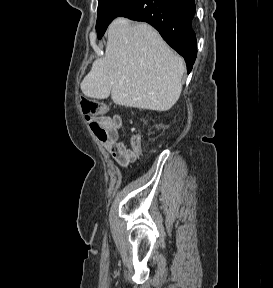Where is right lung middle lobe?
I'll return each mask as SVG.
<instances>
[{"label": "right lung middle lobe", "instance_id": "dd1d6c3e", "mask_svg": "<svg viewBox=\"0 0 273 288\" xmlns=\"http://www.w3.org/2000/svg\"><path fill=\"white\" fill-rule=\"evenodd\" d=\"M137 0H98L96 30L101 39L108 25L128 10Z\"/></svg>", "mask_w": 273, "mask_h": 288}]
</instances>
